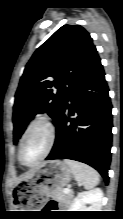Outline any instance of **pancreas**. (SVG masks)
Returning <instances> with one entry per match:
<instances>
[{
    "label": "pancreas",
    "mask_w": 123,
    "mask_h": 219,
    "mask_svg": "<svg viewBox=\"0 0 123 219\" xmlns=\"http://www.w3.org/2000/svg\"><path fill=\"white\" fill-rule=\"evenodd\" d=\"M63 191L64 190L56 191L52 194V196L60 202L69 204L73 199V194L71 192L69 194H65Z\"/></svg>",
    "instance_id": "obj_1"
}]
</instances>
